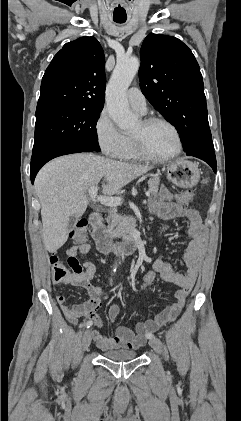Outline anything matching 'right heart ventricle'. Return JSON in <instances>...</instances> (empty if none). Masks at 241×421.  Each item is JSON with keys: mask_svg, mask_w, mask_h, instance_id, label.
Instances as JSON below:
<instances>
[{"mask_svg": "<svg viewBox=\"0 0 241 421\" xmlns=\"http://www.w3.org/2000/svg\"><path fill=\"white\" fill-rule=\"evenodd\" d=\"M123 135H124V143H123V146L118 158L122 160H131V161L141 160L142 158L138 155V153L136 152L134 148L131 135L129 133H125Z\"/></svg>", "mask_w": 241, "mask_h": 421, "instance_id": "right-heart-ventricle-1", "label": "right heart ventricle"}]
</instances>
